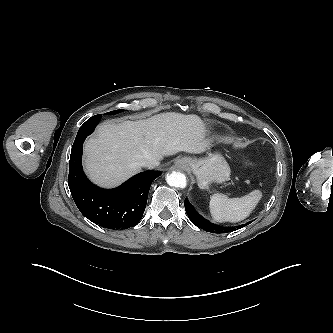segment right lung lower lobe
<instances>
[{"label":"right lung lower lobe","instance_id":"right-lung-lower-lobe-1","mask_svg":"<svg viewBox=\"0 0 333 333\" xmlns=\"http://www.w3.org/2000/svg\"><path fill=\"white\" fill-rule=\"evenodd\" d=\"M101 115L88 119L79 129L72 146L68 185L80 212L93 223L108 229L135 226L146 208L152 181L160 171H144L114 189H102L92 184L82 168V145L99 123Z\"/></svg>","mask_w":333,"mask_h":333}]
</instances>
